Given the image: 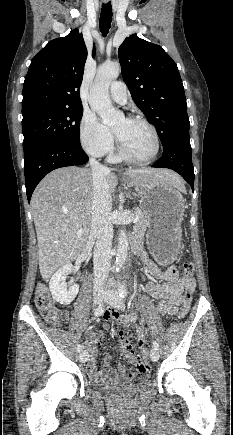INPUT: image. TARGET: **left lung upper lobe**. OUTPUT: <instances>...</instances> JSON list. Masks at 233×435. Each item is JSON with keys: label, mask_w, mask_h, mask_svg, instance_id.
<instances>
[{"label": "left lung upper lobe", "mask_w": 233, "mask_h": 435, "mask_svg": "<svg viewBox=\"0 0 233 435\" xmlns=\"http://www.w3.org/2000/svg\"><path fill=\"white\" fill-rule=\"evenodd\" d=\"M122 77L135 104L158 131L163 148L189 137L183 83L176 63L159 45L136 35L118 48Z\"/></svg>", "instance_id": "1"}]
</instances>
